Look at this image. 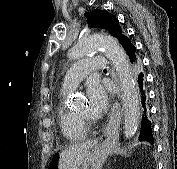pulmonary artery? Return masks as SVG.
I'll list each match as a JSON object with an SVG mask.
<instances>
[{"mask_svg":"<svg viewBox=\"0 0 177 169\" xmlns=\"http://www.w3.org/2000/svg\"><path fill=\"white\" fill-rule=\"evenodd\" d=\"M107 67V60L102 56L85 57L74 63L66 72L63 80V89H74L85 75L103 71Z\"/></svg>","mask_w":177,"mask_h":169,"instance_id":"pulmonary-artery-1","label":"pulmonary artery"}]
</instances>
